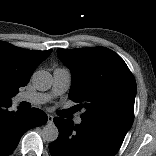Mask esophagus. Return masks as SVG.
Here are the masks:
<instances>
[{"mask_svg": "<svg viewBox=\"0 0 156 156\" xmlns=\"http://www.w3.org/2000/svg\"><path fill=\"white\" fill-rule=\"evenodd\" d=\"M53 116L52 115H48V117H47V122H48V124H51V123H53Z\"/></svg>", "mask_w": 156, "mask_h": 156, "instance_id": "1", "label": "esophagus"}]
</instances>
